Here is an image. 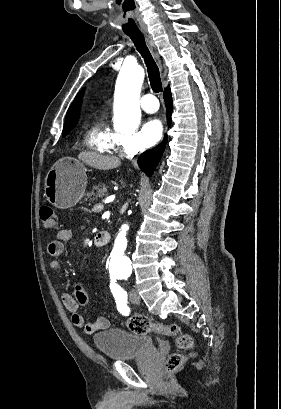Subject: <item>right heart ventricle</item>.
<instances>
[{
	"label": "right heart ventricle",
	"instance_id": "obj_1",
	"mask_svg": "<svg viewBox=\"0 0 281 409\" xmlns=\"http://www.w3.org/2000/svg\"><path fill=\"white\" fill-rule=\"evenodd\" d=\"M89 143L94 153L100 156L110 155L115 150L130 152L121 145L119 135L108 126L104 119H98L91 125Z\"/></svg>",
	"mask_w": 281,
	"mask_h": 409
}]
</instances>
